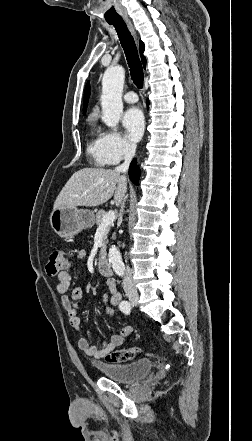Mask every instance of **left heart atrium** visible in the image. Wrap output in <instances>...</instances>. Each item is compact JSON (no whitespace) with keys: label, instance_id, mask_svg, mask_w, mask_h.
<instances>
[{"label":"left heart atrium","instance_id":"1","mask_svg":"<svg viewBox=\"0 0 252 441\" xmlns=\"http://www.w3.org/2000/svg\"><path fill=\"white\" fill-rule=\"evenodd\" d=\"M122 124L127 138L136 142L143 134L145 121L140 109L133 107L127 110L122 117Z\"/></svg>","mask_w":252,"mask_h":441}]
</instances>
